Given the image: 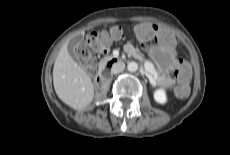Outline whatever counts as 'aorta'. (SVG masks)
Returning <instances> with one entry per match:
<instances>
[{"label": "aorta", "instance_id": "obj_1", "mask_svg": "<svg viewBox=\"0 0 230 155\" xmlns=\"http://www.w3.org/2000/svg\"><path fill=\"white\" fill-rule=\"evenodd\" d=\"M127 70L129 72H136L138 70V64L134 61H131L127 64Z\"/></svg>", "mask_w": 230, "mask_h": 155}]
</instances>
